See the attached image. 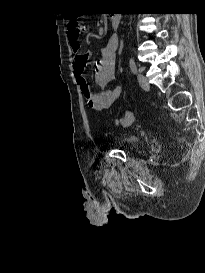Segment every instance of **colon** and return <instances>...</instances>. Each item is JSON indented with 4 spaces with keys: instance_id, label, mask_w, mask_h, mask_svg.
<instances>
[{
    "instance_id": "colon-1",
    "label": "colon",
    "mask_w": 205,
    "mask_h": 273,
    "mask_svg": "<svg viewBox=\"0 0 205 273\" xmlns=\"http://www.w3.org/2000/svg\"><path fill=\"white\" fill-rule=\"evenodd\" d=\"M81 29V25L77 24L74 26V32L78 33V31ZM133 113L131 111H125L124 114L121 116V118L118 120V124L121 126H129L133 122Z\"/></svg>"
}]
</instances>
